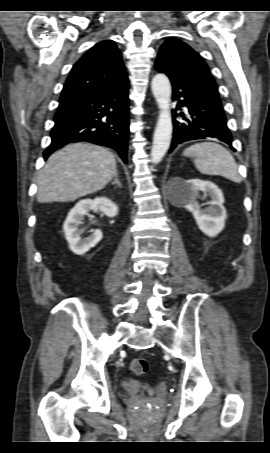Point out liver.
Wrapping results in <instances>:
<instances>
[{"mask_svg":"<svg viewBox=\"0 0 270 453\" xmlns=\"http://www.w3.org/2000/svg\"><path fill=\"white\" fill-rule=\"evenodd\" d=\"M116 160L107 149L70 144L52 154L37 179L39 203L69 202L103 189L114 177Z\"/></svg>","mask_w":270,"mask_h":453,"instance_id":"1","label":"liver"}]
</instances>
